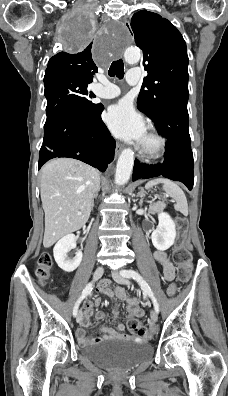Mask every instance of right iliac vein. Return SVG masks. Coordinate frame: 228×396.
I'll return each instance as SVG.
<instances>
[{
	"instance_id": "obj_1",
	"label": "right iliac vein",
	"mask_w": 228,
	"mask_h": 396,
	"mask_svg": "<svg viewBox=\"0 0 228 396\" xmlns=\"http://www.w3.org/2000/svg\"><path fill=\"white\" fill-rule=\"evenodd\" d=\"M103 273H104V268H103L102 266H99V267L95 270V272H94V274H93V280L96 281V280H98L99 278H101V276L103 275ZM81 319H82V312L79 311V313L77 314V317H76L77 323H79V322L81 321Z\"/></svg>"
}]
</instances>
